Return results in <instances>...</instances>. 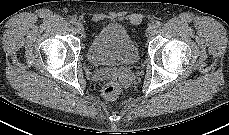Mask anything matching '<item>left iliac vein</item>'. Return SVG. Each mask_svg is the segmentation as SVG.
I'll use <instances>...</instances> for the list:
<instances>
[{
  "label": "left iliac vein",
  "mask_w": 229,
  "mask_h": 135,
  "mask_svg": "<svg viewBox=\"0 0 229 135\" xmlns=\"http://www.w3.org/2000/svg\"><path fill=\"white\" fill-rule=\"evenodd\" d=\"M155 32H156V26L151 25V26H149V27L147 28V30H146V36H147L148 38H151V37L154 36Z\"/></svg>",
  "instance_id": "left-iliac-vein-1"
}]
</instances>
